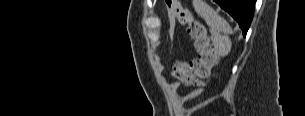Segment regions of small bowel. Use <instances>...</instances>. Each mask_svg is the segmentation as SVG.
<instances>
[{"instance_id":"obj_1","label":"small bowel","mask_w":305,"mask_h":116,"mask_svg":"<svg viewBox=\"0 0 305 116\" xmlns=\"http://www.w3.org/2000/svg\"><path fill=\"white\" fill-rule=\"evenodd\" d=\"M197 95H198V92L193 91V92H190L189 94H187L184 99L191 100V99L195 98ZM202 106H203V104H199V105L195 106L194 108H192L191 111L194 112V111L200 109Z\"/></svg>"}]
</instances>
